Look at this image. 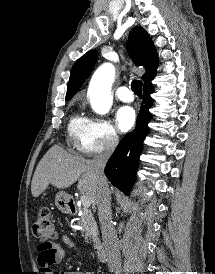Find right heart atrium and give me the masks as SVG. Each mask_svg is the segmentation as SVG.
Masks as SVG:
<instances>
[{
	"instance_id": "d8ad5b80",
	"label": "right heart atrium",
	"mask_w": 215,
	"mask_h": 274,
	"mask_svg": "<svg viewBox=\"0 0 215 274\" xmlns=\"http://www.w3.org/2000/svg\"><path fill=\"white\" fill-rule=\"evenodd\" d=\"M118 143V134L110 121L93 117L88 119L85 133L76 148L82 154L93 155L113 151Z\"/></svg>"
}]
</instances>
